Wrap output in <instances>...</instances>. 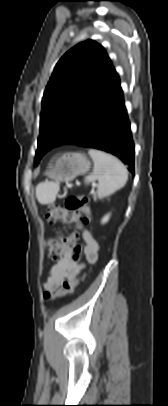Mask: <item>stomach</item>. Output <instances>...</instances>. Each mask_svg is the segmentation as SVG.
Masks as SVG:
<instances>
[{"label": "stomach", "instance_id": "stomach-1", "mask_svg": "<svg viewBox=\"0 0 168 406\" xmlns=\"http://www.w3.org/2000/svg\"><path fill=\"white\" fill-rule=\"evenodd\" d=\"M90 160L81 153H64L55 158L46 175L56 182H69L89 171Z\"/></svg>", "mask_w": 168, "mask_h": 406}]
</instances>
